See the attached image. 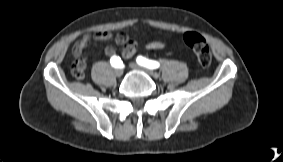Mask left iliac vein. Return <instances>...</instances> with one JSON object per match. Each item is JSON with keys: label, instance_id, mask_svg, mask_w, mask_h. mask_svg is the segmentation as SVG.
Wrapping results in <instances>:
<instances>
[{"label": "left iliac vein", "instance_id": "left-iliac-vein-1", "mask_svg": "<svg viewBox=\"0 0 283 162\" xmlns=\"http://www.w3.org/2000/svg\"><path fill=\"white\" fill-rule=\"evenodd\" d=\"M129 66H130L132 69L139 70V71H143V72H145L146 74H148V75L151 76V77H155V76H156V73H155V72H153L152 70H149V69H147V68H144V67L138 65L137 63L131 62V63L129 64Z\"/></svg>", "mask_w": 283, "mask_h": 162}]
</instances>
